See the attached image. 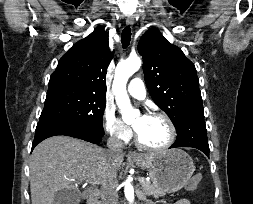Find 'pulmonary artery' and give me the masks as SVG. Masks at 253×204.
Here are the masks:
<instances>
[{"mask_svg": "<svg viewBox=\"0 0 253 204\" xmlns=\"http://www.w3.org/2000/svg\"><path fill=\"white\" fill-rule=\"evenodd\" d=\"M127 91L132 97L138 100H143L146 97V89H145L144 82L142 81V79L138 77L133 78L130 81L127 87Z\"/></svg>", "mask_w": 253, "mask_h": 204, "instance_id": "e3ab8cb5", "label": "pulmonary artery"}]
</instances>
